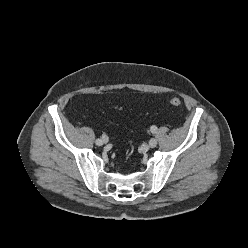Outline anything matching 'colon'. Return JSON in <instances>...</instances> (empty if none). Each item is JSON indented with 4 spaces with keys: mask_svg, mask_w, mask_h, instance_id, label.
I'll use <instances>...</instances> for the list:
<instances>
[{
    "mask_svg": "<svg viewBox=\"0 0 248 248\" xmlns=\"http://www.w3.org/2000/svg\"><path fill=\"white\" fill-rule=\"evenodd\" d=\"M169 103L174 107H181L182 102L179 98L173 97L169 100Z\"/></svg>",
    "mask_w": 248,
    "mask_h": 248,
    "instance_id": "5ec220e1",
    "label": "colon"
}]
</instances>
